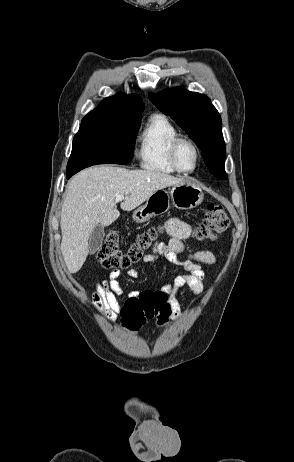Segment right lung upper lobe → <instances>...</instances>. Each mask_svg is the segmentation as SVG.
Wrapping results in <instances>:
<instances>
[{"label": "right lung upper lobe", "mask_w": 294, "mask_h": 462, "mask_svg": "<svg viewBox=\"0 0 294 462\" xmlns=\"http://www.w3.org/2000/svg\"><path fill=\"white\" fill-rule=\"evenodd\" d=\"M144 110V103L138 95H126L118 93L112 97L105 98L98 108L90 113L115 114L120 116L141 115Z\"/></svg>", "instance_id": "1"}]
</instances>
